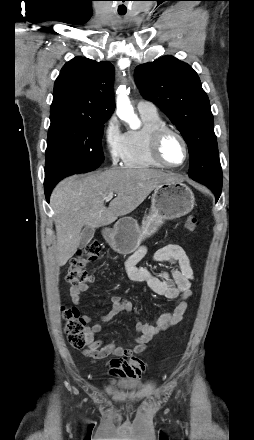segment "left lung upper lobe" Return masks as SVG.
<instances>
[{
    "instance_id": "left-lung-upper-lobe-1",
    "label": "left lung upper lobe",
    "mask_w": 254,
    "mask_h": 440,
    "mask_svg": "<svg viewBox=\"0 0 254 440\" xmlns=\"http://www.w3.org/2000/svg\"><path fill=\"white\" fill-rule=\"evenodd\" d=\"M136 84L181 132L189 148V176L221 194L222 170L209 99L197 73L172 56L139 65Z\"/></svg>"
}]
</instances>
